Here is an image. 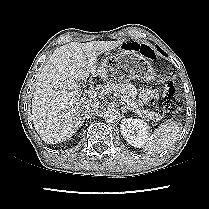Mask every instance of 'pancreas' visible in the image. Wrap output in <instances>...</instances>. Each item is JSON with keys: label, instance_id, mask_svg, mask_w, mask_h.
Here are the masks:
<instances>
[{"label": "pancreas", "instance_id": "cf45deb5", "mask_svg": "<svg viewBox=\"0 0 209 209\" xmlns=\"http://www.w3.org/2000/svg\"><path fill=\"white\" fill-rule=\"evenodd\" d=\"M111 90L118 91L127 95V108L135 112L139 117L145 119H151L153 121H160L161 116L153 111H149L148 109H142L136 102L137 89L131 83L125 82H113L109 84Z\"/></svg>", "mask_w": 209, "mask_h": 209}]
</instances>
